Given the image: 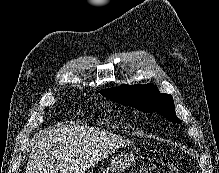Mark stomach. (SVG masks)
<instances>
[{"label":"stomach","mask_w":219,"mask_h":173,"mask_svg":"<svg viewBox=\"0 0 219 173\" xmlns=\"http://www.w3.org/2000/svg\"><path fill=\"white\" fill-rule=\"evenodd\" d=\"M136 158L133 153L122 152L110 160L108 170L111 173H123L126 169L133 166Z\"/></svg>","instance_id":"obj_1"}]
</instances>
